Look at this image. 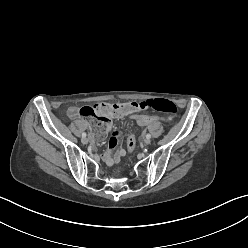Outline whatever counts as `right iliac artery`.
I'll use <instances>...</instances> for the list:
<instances>
[{
  "mask_svg": "<svg viewBox=\"0 0 248 248\" xmlns=\"http://www.w3.org/2000/svg\"><path fill=\"white\" fill-rule=\"evenodd\" d=\"M82 137H86V133L84 132V133H82Z\"/></svg>",
  "mask_w": 248,
  "mask_h": 248,
  "instance_id": "82829eb1",
  "label": "right iliac artery"
}]
</instances>
